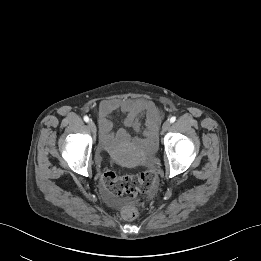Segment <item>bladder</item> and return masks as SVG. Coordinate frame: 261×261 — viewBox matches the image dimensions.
I'll return each mask as SVG.
<instances>
[{
	"label": "bladder",
	"instance_id": "obj_1",
	"mask_svg": "<svg viewBox=\"0 0 261 261\" xmlns=\"http://www.w3.org/2000/svg\"><path fill=\"white\" fill-rule=\"evenodd\" d=\"M131 145L142 155H151L156 150L155 137L146 135L144 137H130L129 135L113 134L108 140L102 138L101 146L107 149L114 156L115 160L120 163H127L128 157L122 153V147Z\"/></svg>",
	"mask_w": 261,
	"mask_h": 261
}]
</instances>
